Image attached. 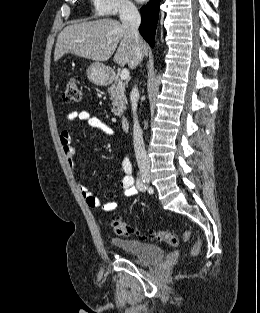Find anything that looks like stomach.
I'll return each mask as SVG.
<instances>
[{
	"label": "stomach",
	"mask_w": 260,
	"mask_h": 313,
	"mask_svg": "<svg viewBox=\"0 0 260 313\" xmlns=\"http://www.w3.org/2000/svg\"><path fill=\"white\" fill-rule=\"evenodd\" d=\"M86 72L88 79L96 85H104L109 80V71L102 63H92Z\"/></svg>",
	"instance_id": "obj_1"
}]
</instances>
